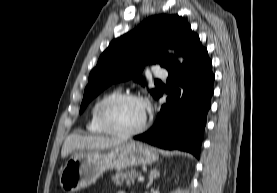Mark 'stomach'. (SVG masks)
<instances>
[{"mask_svg":"<svg viewBox=\"0 0 277 193\" xmlns=\"http://www.w3.org/2000/svg\"><path fill=\"white\" fill-rule=\"evenodd\" d=\"M158 159L156 150L147 144L126 141L107 151L76 150L60 171V185L65 193L86 188L109 169L149 165Z\"/></svg>","mask_w":277,"mask_h":193,"instance_id":"0dacf381","label":"stomach"}]
</instances>
